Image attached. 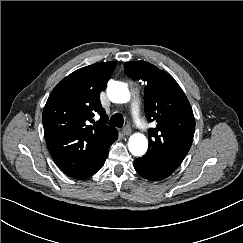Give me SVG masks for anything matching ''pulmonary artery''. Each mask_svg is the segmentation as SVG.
I'll return each instance as SVG.
<instances>
[{"label":"pulmonary artery","mask_w":243,"mask_h":243,"mask_svg":"<svg viewBox=\"0 0 243 243\" xmlns=\"http://www.w3.org/2000/svg\"><path fill=\"white\" fill-rule=\"evenodd\" d=\"M131 113L133 115L134 121L139 126L140 128H143V123L140 117V112H139V103L137 99H133L131 103Z\"/></svg>","instance_id":"e3ab8cb5"}]
</instances>
